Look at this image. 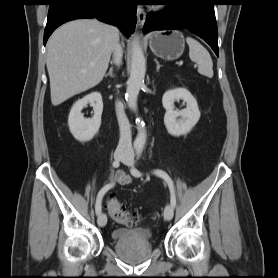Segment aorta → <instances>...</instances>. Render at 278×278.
<instances>
[{
	"label": "aorta",
	"mask_w": 278,
	"mask_h": 278,
	"mask_svg": "<svg viewBox=\"0 0 278 278\" xmlns=\"http://www.w3.org/2000/svg\"><path fill=\"white\" fill-rule=\"evenodd\" d=\"M145 72L146 59L138 37L135 36L132 42L130 77L126 89V101L133 111L137 110V98L141 87L144 85ZM137 130L134 148L137 151H142L146 143L147 134L144 125L140 121H138Z\"/></svg>",
	"instance_id": "1"
}]
</instances>
